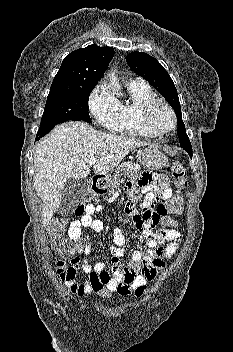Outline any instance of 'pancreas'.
I'll list each match as a JSON object with an SVG mask.
<instances>
[{
  "mask_svg": "<svg viewBox=\"0 0 233 352\" xmlns=\"http://www.w3.org/2000/svg\"><path fill=\"white\" fill-rule=\"evenodd\" d=\"M141 168L137 163L127 162L120 165L115 171L114 178L108 180V195L113 194L114 190L119 187L121 176L124 175L130 180L138 179L141 175Z\"/></svg>",
  "mask_w": 233,
  "mask_h": 352,
  "instance_id": "1",
  "label": "pancreas"
}]
</instances>
